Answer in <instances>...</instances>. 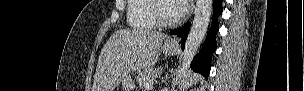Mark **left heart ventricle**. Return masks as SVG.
Instances as JSON below:
<instances>
[{
  "label": "left heart ventricle",
  "instance_id": "b2bd125f",
  "mask_svg": "<svg viewBox=\"0 0 304 91\" xmlns=\"http://www.w3.org/2000/svg\"><path fill=\"white\" fill-rule=\"evenodd\" d=\"M162 15L168 19H174L179 16L177 4L175 1H166L161 5Z\"/></svg>",
  "mask_w": 304,
  "mask_h": 91
}]
</instances>
